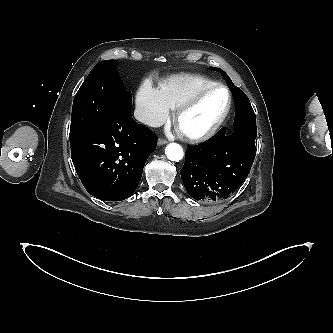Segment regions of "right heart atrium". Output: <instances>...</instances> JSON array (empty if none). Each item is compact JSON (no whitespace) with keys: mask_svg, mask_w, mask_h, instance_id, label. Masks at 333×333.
I'll return each instance as SVG.
<instances>
[{"mask_svg":"<svg viewBox=\"0 0 333 333\" xmlns=\"http://www.w3.org/2000/svg\"><path fill=\"white\" fill-rule=\"evenodd\" d=\"M136 107L139 120L151 127L164 123L170 114V109L160 91L149 82L140 87L136 97Z\"/></svg>","mask_w":333,"mask_h":333,"instance_id":"right-heart-atrium-1","label":"right heart atrium"}]
</instances>
